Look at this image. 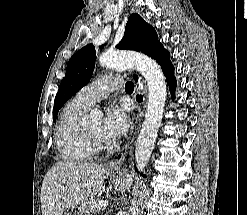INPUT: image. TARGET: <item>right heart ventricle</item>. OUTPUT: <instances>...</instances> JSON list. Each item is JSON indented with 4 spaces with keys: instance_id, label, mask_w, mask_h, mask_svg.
<instances>
[{
    "instance_id": "1",
    "label": "right heart ventricle",
    "mask_w": 247,
    "mask_h": 215,
    "mask_svg": "<svg viewBox=\"0 0 247 215\" xmlns=\"http://www.w3.org/2000/svg\"><path fill=\"white\" fill-rule=\"evenodd\" d=\"M87 108L74 99L64 107L55 131L57 149L63 160L82 163L91 160L95 149L80 122Z\"/></svg>"
}]
</instances>
